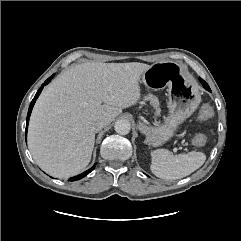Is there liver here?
Here are the masks:
<instances>
[{
  "mask_svg": "<svg viewBox=\"0 0 241 241\" xmlns=\"http://www.w3.org/2000/svg\"><path fill=\"white\" fill-rule=\"evenodd\" d=\"M144 63H94L61 73L38 98L31 114L28 147L38 166L49 175L68 178L83 171L94 148L92 124H110L123 108L141 96Z\"/></svg>",
  "mask_w": 241,
  "mask_h": 241,
  "instance_id": "6515ba94",
  "label": "liver"
}]
</instances>
